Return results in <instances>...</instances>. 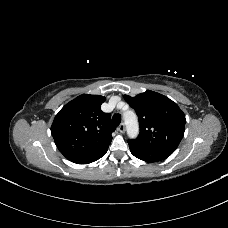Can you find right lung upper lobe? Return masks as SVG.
<instances>
[{
    "mask_svg": "<svg viewBox=\"0 0 228 228\" xmlns=\"http://www.w3.org/2000/svg\"><path fill=\"white\" fill-rule=\"evenodd\" d=\"M105 97L83 94L67 103L55 116L51 133L60 152L70 161L108 148L116 129L110 114L101 111Z\"/></svg>",
    "mask_w": 228,
    "mask_h": 228,
    "instance_id": "1",
    "label": "right lung upper lobe"
}]
</instances>
